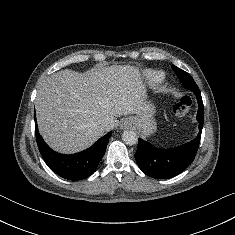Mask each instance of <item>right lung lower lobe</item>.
<instances>
[{
	"label": "right lung lower lobe",
	"instance_id": "98d812e1",
	"mask_svg": "<svg viewBox=\"0 0 235 235\" xmlns=\"http://www.w3.org/2000/svg\"><path fill=\"white\" fill-rule=\"evenodd\" d=\"M35 134L39 151L48 167L57 175L68 180H81L92 175L100 160L105 154V150L112 132L100 138L90 148L72 155H63L53 151L40 136L36 117Z\"/></svg>",
	"mask_w": 235,
	"mask_h": 235
}]
</instances>
